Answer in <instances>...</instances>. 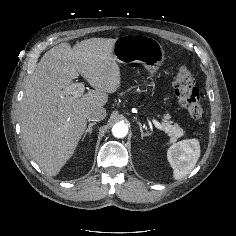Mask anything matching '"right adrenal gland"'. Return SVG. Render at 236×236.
Instances as JSON below:
<instances>
[{
  "mask_svg": "<svg viewBox=\"0 0 236 236\" xmlns=\"http://www.w3.org/2000/svg\"><path fill=\"white\" fill-rule=\"evenodd\" d=\"M94 125H96V122L90 123V124L88 125L87 129L85 130V132H84V134H83L82 140L85 139V137H86L87 134H89V135L91 134V132H92V127H93Z\"/></svg>",
  "mask_w": 236,
  "mask_h": 236,
  "instance_id": "obj_1",
  "label": "right adrenal gland"
}]
</instances>
